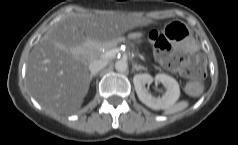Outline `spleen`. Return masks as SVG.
<instances>
[{
  "instance_id": "spleen-1",
  "label": "spleen",
  "mask_w": 238,
  "mask_h": 145,
  "mask_svg": "<svg viewBox=\"0 0 238 145\" xmlns=\"http://www.w3.org/2000/svg\"><path fill=\"white\" fill-rule=\"evenodd\" d=\"M189 103L187 101H180L170 107H168L165 111V114H174L180 112L188 107Z\"/></svg>"
}]
</instances>
